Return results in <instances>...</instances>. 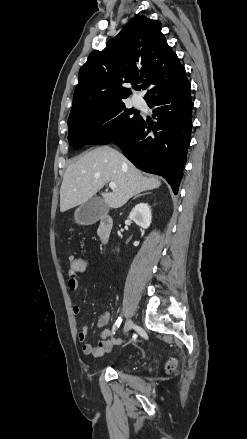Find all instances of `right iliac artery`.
Instances as JSON below:
<instances>
[{
    "instance_id": "82829eb1",
    "label": "right iliac artery",
    "mask_w": 247,
    "mask_h": 439,
    "mask_svg": "<svg viewBox=\"0 0 247 439\" xmlns=\"http://www.w3.org/2000/svg\"><path fill=\"white\" fill-rule=\"evenodd\" d=\"M121 323H122V318L119 317V318L117 319V321L115 322L114 326H113V331H116L117 328L120 327Z\"/></svg>"
}]
</instances>
